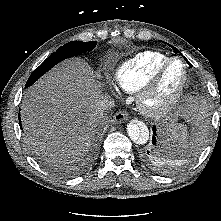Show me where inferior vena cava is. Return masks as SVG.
<instances>
[{"label": "inferior vena cava", "mask_w": 221, "mask_h": 221, "mask_svg": "<svg viewBox=\"0 0 221 221\" xmlns=\"http://www.w3.org/2000/svg\"><path fill=\"white\" fill-rule=\"evenodd\" d=\"M114 107V100L110 96H103L102 99L98 102L97 109L101 113L108 111Z\"/></svg>", "instance_id": "inferior-vena-cava-1"}]
</instances>
